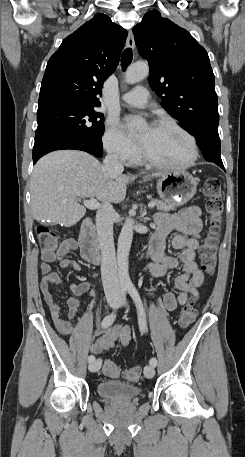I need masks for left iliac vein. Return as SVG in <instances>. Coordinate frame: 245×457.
<instances>
[{"mask_svg":"<svg viewBox=\"0 0 245 457\" xmlns=\"http://www.w3.org/2000/svg\"><path fill=\"white\" fill-rule=\"evenodd\" d=\"M144 374L147 378H152L155 374L154 367L151 365H148L144 368Z\"/></svg>","mask_w":245,"mask_h":457,"instance_id":"left-iliac-vein-1","label":"left iliac vein"}]
</instances>
